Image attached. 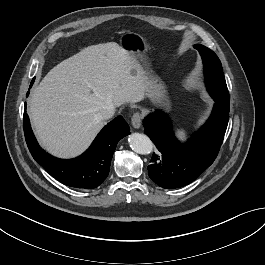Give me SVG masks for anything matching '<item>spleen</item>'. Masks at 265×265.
<instances>
[{"mask_svg": "<svg viewBox=\"0 0 265 265\" xmlns=\"http://www.w3.org/2000/svg\"><path fill=\"white\" fill-rule=\"evenodd\" d=\"M176 134L177 137L182 141L186 140L187 138L186 132L183 129H177Z\"/></svg>", "mask_w": 265, "mask_h": 265, "instance_id": "spleen-1", "label": "spleen"}]
</instances>
